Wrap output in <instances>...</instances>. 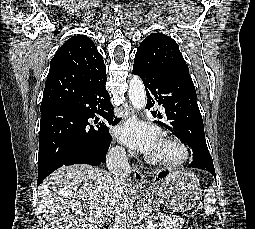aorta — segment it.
<instances>
[{
  "label": "aorta",
  "mask_w": 255,
  "mask_h": 229,
  "mask_svg": "<svg viewBox=\"0 0 255 229\" xmlns=\"http://www.w3.org/2000/svg\"><path fill=\"white\" fill-rule=\"evenodd\" d=\"M129 99L135 109L141 110L146 106V92L140 77L134 75L129 82ZM144 207L142 215L146 220V229H156V226Z\"/></svg>",
  "instance_id": "obj_1"
}]
</instances>
